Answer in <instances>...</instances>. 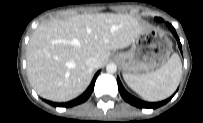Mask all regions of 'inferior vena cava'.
<instances>
[{
  "instance_id": "inferior-vena-cava-1",
  "label": "inferior vena cava",
  "mask_w": 203,
  "mask_h": 123,
  "mask_svg": "<svg viewBox=\"0 0 203 123\" xmlns=\"http://www.w3.org/2000/svg\"><path fill=\"white\" fill-rule=\"evenodd\" d=\"M86 65H87L90 69L94 70V69L98 68V66H99V60H98V58H96V57H89V58L86 60Z\"/></svg>"
}]
</instances>
